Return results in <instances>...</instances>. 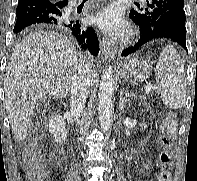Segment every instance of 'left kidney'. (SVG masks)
<instances>
[{"mask_svg":"<svg viewBox=\"0 0 197 181\" xmlns=\"http://www.w3.org/2000/svg\"><path fill=\"white\" fill-rule=\"evenodd\" d=\"M140 127L145 129L147 128V124L143 122L142 124H140Z\"/></svg>","mask_w":197,"mask_h":181,"instance_id":"left-kidney-1","label":"left kidney"}]
</instances>
